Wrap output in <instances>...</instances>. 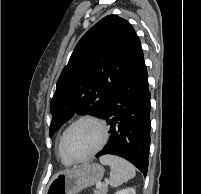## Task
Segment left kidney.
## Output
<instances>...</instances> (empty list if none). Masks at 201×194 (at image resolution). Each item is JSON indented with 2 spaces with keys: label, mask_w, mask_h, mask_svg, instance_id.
<instances>
[{
  "label": "left kidney",
  "mask_w": 201,
  "mask_h": 194,
  "mask_svg": "<svg viewBox=\"0 0 201 194\" xmlns=\"http://www.w3.org/2000/svg\"><path fill=\"white\" fill-rule=\"evenodd\" d=\"M114 194H136L133 188L122 189Z\"/></svg>",
  "instance_id": "left-kidney-1"
}]
</instances>
